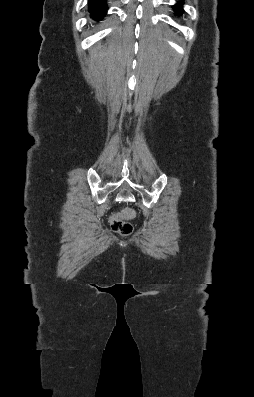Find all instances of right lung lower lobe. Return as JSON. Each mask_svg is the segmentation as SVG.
<instances>
[{
	"label": "right lung lower lobe",
	"instance_id": "1",
	"mask_svg": "<svg viewBox=\"0 0 254 397\" xmlns=\"http://www.w3.org/2000/svg\"><path fill=\"white\" fill-rule=\"evenodd\" d=\"M88 10L93 19L101 20L107 12L106 0H89Z\"/></svg>",
	"mask_w": 254,
	"mask_h": 397
}]
</instances>
